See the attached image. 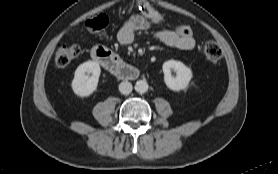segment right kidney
I'll use <instances>...</instances> for the list:
<instances>
[{"mask_svg":"<svg viewBox=\"0 0 278 174\" xmlns=\"http://www.w3.org/2000/svg\"><path fill=\"white\" fill-rule=\"evenodd\" d=\"M100 72L101 69L97 62L87 61L80 64L71 83L74 93L79 97L90 96L97 88Z\"/></svg>","mask_w":278,"mask_h":174,"instance_id":"1","label":"right kidney"}]
</instances>
